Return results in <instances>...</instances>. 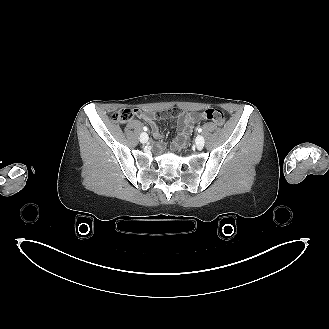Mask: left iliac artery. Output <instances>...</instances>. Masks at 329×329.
Here are the masks:
<instances>
[{
    "instance_id": "1",
    "label": "left iliac artery",
    "mask_w": 329,
    "mask_h": 329,
    "mask_svg": "<svg viewBox=\"0 0 329 329\" xmlns=\"http://www.w3.org/2000/svg\"><path fill=\"white\" fill-rule=\"evenodd\" d=\"M197 131L200 133V132H202V129L201 128H197Z\"/></svg>"
}]
</instances>
